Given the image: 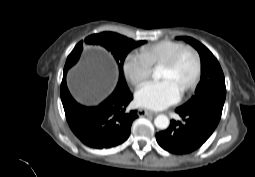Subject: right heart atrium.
I'll return each mask as SVG.
<instances>
[{"instance_id": "obj_1", "label": "right heart atrium", "mask_w": 255, "mask_h": 177, "mask_svg": "<svg viewBox=\"0 0 255 177\" xmlns=\"http://www.w3.org/2000/svg\"><path fill=\"white\" fill-rule=\"evenodd\" d=\"M123 72L132 85L138 86L151 76L152 65L142 53L131 52L124 60Z\"/></svg>"}]
</instances>
